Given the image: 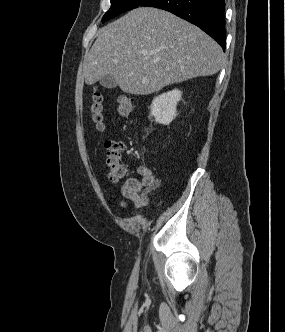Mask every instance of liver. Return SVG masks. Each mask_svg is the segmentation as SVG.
Listing matches in <instances>:
<instances>
[{
	"mask_svg": "<svg viewBox=\"0 0 285 332\" xmlns=\"http://www.w3.org/2000/svg\"><path fill=\"white\" fill-rule=\"evenodd\" d=\"M222 66L221 47L200 28L170 12L138 7L99 30L83 75L87 85L112 75L123 92L148 95Z\"/></svg>",
	"mask_w": 285,
	"mask_h": 332,
	"instance_id": "liver-1",
	"label": "liver"
}]
</instances>
